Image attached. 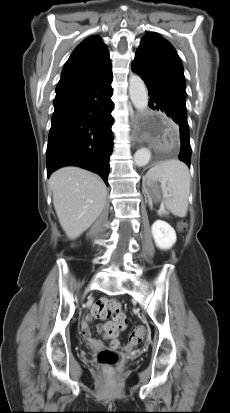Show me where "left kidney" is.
Listing matches in <instances>:
<instances>
[{
    "instance_id": "1",
    "label": "left kidney",
    "mask_w": 230,
    "mask_h": 413,
    "mask_svg": "<svg viewBox=\"0 0 230 413\" xmlns=\"http://www.w3.org/2000/svg\"><path fill=\"white\" fill-rule=\"evenodd\" d=\"M151 231L155 244L160 249H170L176 242L175 230L163 220L155 221Z\"/></svg>"
}]
</instances>
